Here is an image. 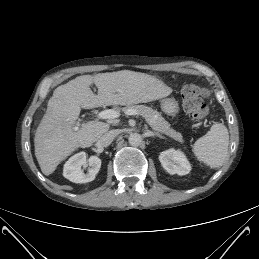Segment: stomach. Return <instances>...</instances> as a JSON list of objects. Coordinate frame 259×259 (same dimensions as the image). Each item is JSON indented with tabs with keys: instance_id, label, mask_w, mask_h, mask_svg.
I'll use <instances>...</instances> for the list:
<instances>
[{
	"instance_id": "0dacf381",
	"label": "stomach",
	"mask_w": 259,
	"mask_h": 259,
	"mask_svg": "<svg viewBox=\"0 0 259 259\" xmlns=\"http://www.w3.org/2000/svg\"><path fill=\"white\" fill-rule=\"evenodd\" d=\"M161 108L163 112L171 116L176 115L179 112V104L173 98H164L161 101Z\"/></svg>"
}]
</instances>
